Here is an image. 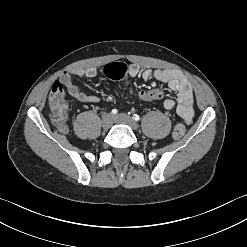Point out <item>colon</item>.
I'll return each mask as SVG.
<instances>
[{
	"mask_svg": "<svg viewBox=\"0 0 247 247\" xmlns=\"http://www.w3.org/2000/svg\"><path fill=\"white\" fill-rule=\"evenodd\" d=\"M104 74L109 79L121 81L128 76V66L124 63L116 62L108 64L104 68ZM143 101H154L161 99L163 93L159 89L142 90L137 94ZM50 115L53 123L60 131L66 129L67 102L64 97V90L60 84H54L49 95ZM186 127L183 123H177L173 129L172 135L175 139L184 136Z\"/></svg>",
	"mask_w": 247,
	"mask_h": 247,
	"instance_id": "colon-1",
	"label": "colon"
}]
</instances>
